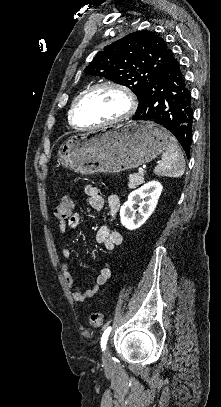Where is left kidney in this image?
<instances>
[{"label": "left kidney", "instance_id": "5707ae66", "mask_svg": "<svg viewBox=\"0 0 221 407\" xmlns=\"http://www.w3.org/2000/svg\"><path fill=\"white\" fill-rule=\"evenodd\" d=\"M162 189L161 183L151 181L132 191L128 200L120 208L122 225L129 230H135L143 225L154 212ZM136 204L139 205L137 210L134 209ZM137 211L138 214H136Z\"/></svg>", "mask_w": 221, "mask_h": 407}]
</instances>
